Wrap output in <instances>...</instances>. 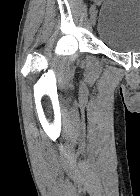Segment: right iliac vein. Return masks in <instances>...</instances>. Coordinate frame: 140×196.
Returning <instances> with one entry per match:
<instances>
[{
	"label": "right iliac vein",
	"instance_id": "1",
	"mask_svg": "<svg viewBox=\"0 0 140 196\" xmlns=\"http://www.w3.org/2000/svg\"><path fill=\"white\" fill-rule=\"evenodd\" d=\"M90 21L93 26L96 24V14L94 11L91 13Z\"/></svg>",
	"mask_w": 140,
	"mask_h": 196
}]
</instances>
